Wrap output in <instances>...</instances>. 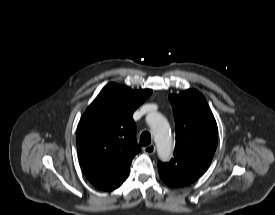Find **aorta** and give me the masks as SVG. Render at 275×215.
I'll use <instances>...</instances> for the list:
<instances>
[{
  "instance_id": "aorta-1",
  "label": "aorta",
  "mask_w": 275,
  "mask_h": 215,
  "mask_svg": "<svg viewBox=\"0 0 275 215\" xmlns=\"http://www.w3.org/2000/svg\"><path fill=\"white\" fill-rule=\"evenodd\" d=\"M158 156L162 161H168L173 150V142L169 124L164 116L159 113H151L148 116Z\"/></svg>"
}]
</instances>
